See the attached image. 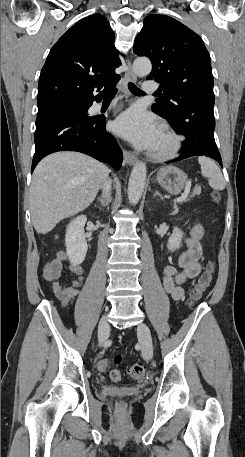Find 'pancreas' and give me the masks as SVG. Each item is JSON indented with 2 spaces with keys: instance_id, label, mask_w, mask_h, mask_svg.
<instances>
[{
  "instance_id": "obj_1",
  "label": "pancreas",
  "mask_w": 245,
  "mask_h": 457,
  "mask_svg": "<svg viewBox=\"0 0 245 457\" xmlns=\"http://www.w3.org/2000/svg\"><path fill=\"white\" fill-rule=\"evenodd\" d=\"M201 192V186H195V188H193V192L191 194V196H195V194H200Z\"/></svg>"
}]
</instances>
